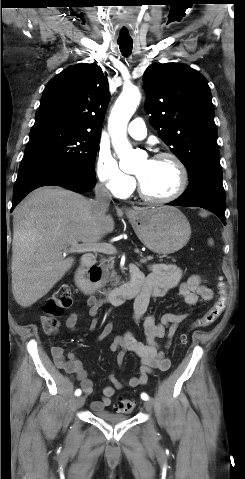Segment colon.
<instances>
[{"label": "colon", "instance_id": "1", "mask_svg": "<svg viewBox=\"0 0 245 479\" xmlns=\"http://www.w3.org/2000/svg\"><path fill=\"white\" fill-rule=\"evenodd\" d=\"M227 292L223 286L219 287L218 298L214 304L201 317L195 319L190 329L205 328L212 325L223 313L226 302ZM72 305V293L68 285L60 286L54 294L47 299L43 306L44 314L41 317L43 331L46 334H54L59 328V318ZM188 333L180 336V341L185 343ZM135 409V402L129 399H120L116 404V410L121 413H130Z\"/></svg>", "mask_w": 245, "mask_h": 479}]
</instances>
